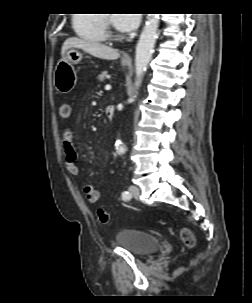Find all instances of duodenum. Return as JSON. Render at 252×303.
<instances>
[{
    "instance_id": "1",
    "label": "duodenum",
    "mask_w": 252,
    "mask_h": 303,
    "mask_svg": "<svg viewBox=\"0 0 252 303\" xmlns=\"http://www.w3.org/2000/svg\"><path fill=\"white\" fill-rule=\"evenodd\" d=\"M115 109L113 106H107L105 109L106 117L111 119L114 116Z\"/></svg>"
}]
</instances>
